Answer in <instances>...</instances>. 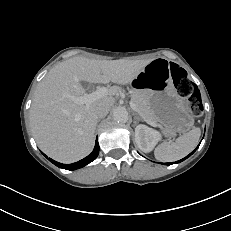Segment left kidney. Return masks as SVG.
<instances>
[{"mask_svg": "<svg viewBox=\"0 0 231 231\" xmlns=\"http://www.w3.org/2000/svg\"><path fill=\"white\" fill-rule=\"evenodd\" d=\"M159 140L160 134L156 130L143 124L136 126L135 142L141 151L151 152Z\"/></svg>", "mask_w": 231, "mask_h": 231, "instance_id": "5707ae66", "label": "left kidney"}]
</instances>
